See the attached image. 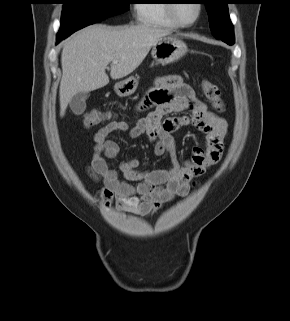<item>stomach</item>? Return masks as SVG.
Listing matches in <instances>:
<instances>
[{
	"label": "stomach",
	"instance_id": "obj_1",
	"mask_svg": "<svg viewBox=\"0 0 290 321\" xmlns=\"http://www.w3.org/2000/svg\"><path fill=\"white\" fill-rule=\"evenodd\" d=\"M187 53L186 44L176 35H166L159 39L153 46L151 55L153 59L162 65L173 63ZM138 86V80L133 76L119 81L115 84L114 90L120 97L133 94Z\"/></svg>",
	"mask_w": 290,
	"mask_h": 321
}]
</instances>
